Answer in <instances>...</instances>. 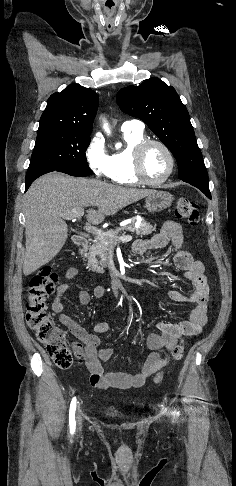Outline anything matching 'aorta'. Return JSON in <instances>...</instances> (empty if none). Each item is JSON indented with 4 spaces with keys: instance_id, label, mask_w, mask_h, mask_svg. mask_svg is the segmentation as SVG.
Instances as JSON below:
<instances>
[{
    "instance_id": "aorta-1",
    "label": "aorta",
    "mask_w": 236,
    "mask_h": 486,
    "mask_svg": "<svg viewBox=\"0 0 236 486\" xmlns=\"http://www.w3.org/2000/svg\"><path fill=\"white\" fill-rule=\"evenodd\" d=\"M104 129H105V131H106L107 133H110V130H109V128H108V126H107V125H105V126H104Z\"/></svg>"
}]
</instances>
